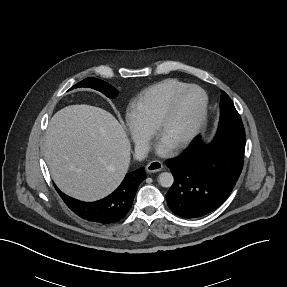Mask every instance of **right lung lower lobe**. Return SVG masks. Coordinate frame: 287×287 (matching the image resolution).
Here are the masks:
<instances>
[{
	"instance_id": "right-lung-lower-lobe-1",
	"label": "right lung lower lobe",
	"mask_w": 287,
	"mask_h": 287,
	"mask_svg": "<svg viewBox=\"0 0 287 287\" xmlns=\"http://www.w3.org/2000/svg\"><path fill=\"white\" fill-rule=\"evenodd\" d=\"M145 178L144 168L128 173L112 194L96 202L73 199L55 188L65 204L79 217L104 225L118 222L128 213L138 186Z\"/></svg>"
}]
</instances>
